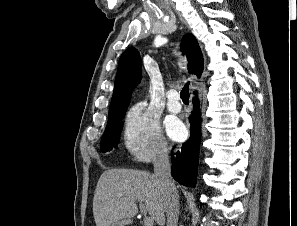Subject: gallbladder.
Listing matches in <instances>:
<instances>
[{
  "label": "gallbladder",
  "instance_id": "1",
  "mask_svg": "<svg viewBox=\"0 0 297 226\" xmlns=\"http://www.w3.org/2000/svg\"><path fill=\"white\" fill-rule=\"evenodd\" d=\"M126 223H127L126 220H121L113 224V226H125Z\"/></svg>",
  "mask_w": 297,
  "mask_h": 226
}]
</instances>
